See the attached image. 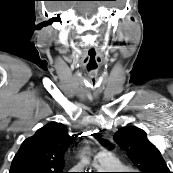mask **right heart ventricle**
<instances>
[{"label": "right heart ventricle", "instance_id": "obj_1", "mask_svg": "<svg viewBox=\"0 0 173 173\" xmlns=\"http://www.w3.org/2000/svg\"><path fill=\"white\" fill-rule=\"evenodd\" d=\"M110 167L105 166L106 168L116 169L117 171H124L126 167L115 157L112 156L109 161ZM102 165V164H101Z\"/></svg>", "mask_w": 173, "mask_h": 173}]
</instances>
